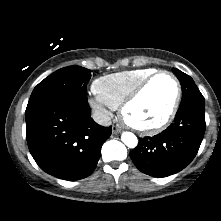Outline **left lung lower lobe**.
<instances>
[{
    "label": "left lung lower lobe",
    "mask_w": 221,
    "mask_h": 221,
    "mask_svg": "<svg viewBox=\"0 0 221 221\" xmlns=\"http://www.w3.org/2000/svg\"><path fill=\"white\" fill-rule=\"evenodd\" d=\"M205 103L180 106L174 123L154 137L140 138L130 152L135 166L153 177H167L188 166L196 156L205 132Z\"/></svg>",
    "instance_id": "obj_1"
}]
</instances>
